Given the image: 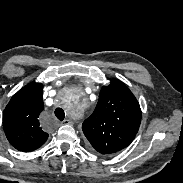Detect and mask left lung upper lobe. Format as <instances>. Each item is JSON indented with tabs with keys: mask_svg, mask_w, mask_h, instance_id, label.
<instances>
[{
	"mask_svg": "<svg viewBox=\"0 0 183 183\" xmlns=\"http://www.w3.org/2000/svg\"><path fill=\"white\" fill-rule=\"evenodd\" d=\"M140 122L137 99L123 82L113 79L102 87L97 106L82 130L96 151L112 154L130 145Z\"/></svg>",
	"mask_w": 183,
	"mask_h": 183,
	"instance_id": "left-lung-upper-lobe-1",
	"label": "left lung upper lobe"
}]
</instances>
